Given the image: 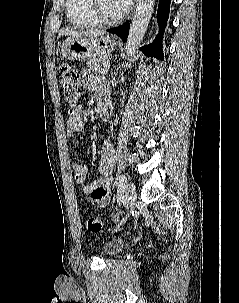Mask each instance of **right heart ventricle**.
<instances>
[{
    "label": "right heart ventricle",
    "mask_w": 239,
    "mask_h": 303,
    "mask_svg": "<svg viewBox=\"0 0 239 303\" xmlns=\"http://www.w3.org/2000/svg\"><path fill=\"white\" fill-rule=\"evenodd\" d=\"M88 0H66L68 21L76 28H90L97 25L87 9Z\"/></svg>",
    "instance_id": "e07e8e85"
}]
</instances>
